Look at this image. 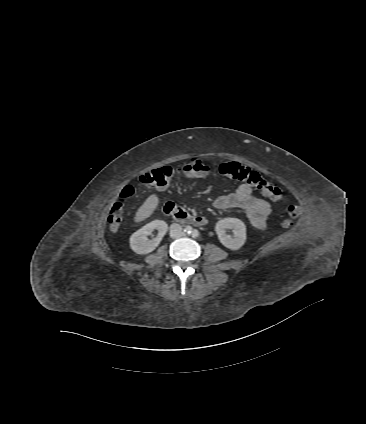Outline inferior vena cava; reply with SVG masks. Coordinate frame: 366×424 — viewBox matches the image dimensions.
I'll return each mask as SVG.
<instances>
[{
    "mask_svg": "<svg viewBox=\"0 0 366 424\" xmlns=\"http://www.w3.org/2000/svg\"><path fill=\"white\" fill-rule=\"evenodd\" d=\"M182 227L181 225L177 224V223H173L170 226V237L172 238H179L182 236L183 231H182Z\"/></svg>",
    "mask_w": 366,
    "mask_h": 424,
    "instance_id": "602c4592",
    "label": "inferior vena cava"
}]
</instances>
